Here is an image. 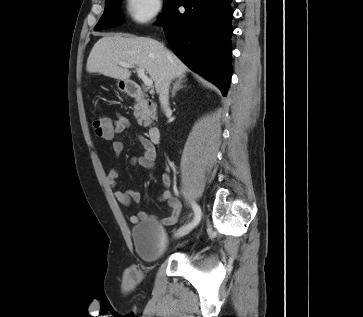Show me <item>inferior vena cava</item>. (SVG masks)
<instances>
[{
  "label": "inferior vena cava",
  "mask_w": 363,
  "mask_h": 317,
  "mask_svg": "<svg viewBox=\"0 0 363 317\" xmlns=\"http://www.w3.org/2000/svg\"><path fill=\"white\" fill-rule=\"evenodd\" d=\"M173 79V76L168 73L165 78L163 79L160 89H159V100L161 103V107L165 112H168L170 110L169 108V88L171 80Z\"/></svg>",
  "instance_id": "inferior-vena-cava-1"
}]
</instances>
